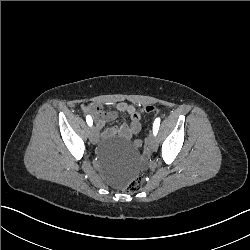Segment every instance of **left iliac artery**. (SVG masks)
<instances>
[{
	"mask_svg": "<svg viewBox=\"0 0 250 250\" xmlns=\"http://www.w3.org/2000/svg\"><path fill=\"white\" fill-rule=\"evenodd\" d=\"M160 126V118H156L153 123V134L156 136Z\"/></svg>",
	"mask_w": 250,
	"mask_h": 250,
	"instance_id": "left-iliac-artery-1",
	"label": "left iliac artery"
}]
</instances>
